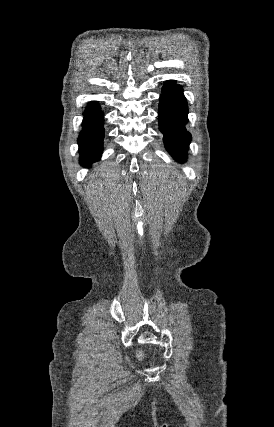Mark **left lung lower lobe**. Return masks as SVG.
<instances>
[{"mask_svg":"<svg viewBox=\"0 0 274 427\" xmlns=\"http://www.w3.org/2000/svg\"><path fill=\"white\" fill-rule=\"evenodd\" d=\"M187 113V103L181 86L176 85L175 81H167L160 97L159 125L167 150L178 161L186 158L191 140V135L185 129Z\"/></svg>","mask_w":274,"mask_h":427,"instance_id":"left-lung-lower-lobe-1","label":"left lung lower lobe"}]
</instances>
